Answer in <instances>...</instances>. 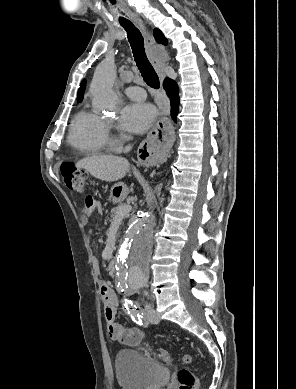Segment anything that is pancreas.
<instances>
[{
    "instance_id": "pancreas-1",
    "label": "pancreas",
    "mask_w": 296,
    "mask_h": 389,
    "mask_svg": "<svg viewBox=\"0 0 296 389\" xmlns=\"http://www.w3.org/2000/svg\"><path fill=\"white\" fill-rule=\"evenodd\" d=\"M126 205L125 203H119L118 206L114 207L112 210H111V220H114L116 218V215H117V212L118 210L122 207Z\"/></svg>"
}]
</instances>
